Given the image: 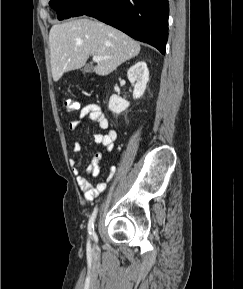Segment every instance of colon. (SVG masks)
<instances>
[{"label":"colon","mask_w":243,"mask_h":289,"mask_svg":"<svg viewBox=\"0 0 243 289\" xmlns=\"http://www.w3.org/2000/svg\"><path fill=\"white\" fill-rule=\"evenodd\" d=\"M63 106L68 112H72L79 108V103L71 98H67L63 101Z\"/></svg>","instance_id":"obj_1"}]
</instances>
